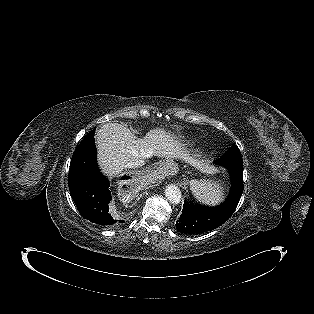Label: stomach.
I'll return each mask as SVG.
<instances>
[{
  "label": "stomach",
  "instance_id": "obj_1",
  "mask_svg": "<svg viewBox=\"0 0 314 314\" xmlns=\"http://www.w3.org/2000/svg\"><path fill=\"white\" fill-rule=\"evenodd\" d=\"M167 164L170 165L173 169H176V164L172 160H167Z\"/></svg>",
  "mask_w": 314,
  "mask_h": 314
}]
</instances>
